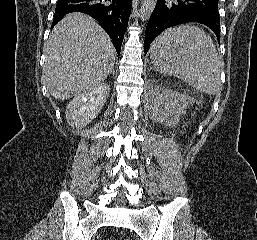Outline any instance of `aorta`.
<instances>
[{"mask_svg":"<svg viewBox=\"0 0 257 240\" xmlns=\"http://www.w3.org/2000/svg\"><path fill=\"white\" fill-rule=\"evenodd\" d=\"M157 0H143L142 6L140 9V18L142 21L148 20L155 8Z\"/></svg>","mask_w":257,"mask_h":240,"instance_id":"obj_1","label":"aorta"}]
</instances>
